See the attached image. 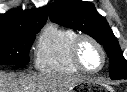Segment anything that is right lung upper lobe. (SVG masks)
Segmentation results:
<instances>
[{"mask_svg": "<svg viewBox=\"0 0 127 92\" xmlns=\"http://www.w3.org/2000/svg\"><path fill=\"white\" fill-rule=\"evenodd\" d=\"M48 15L46 6L34 10L12 9L0 14V33H15L43 27Z\"/></svg>", "mask_w": 127, "mask_h": 92, "instance_id": "right-lung-upper-lobe-1", "label": "right lung upper lobe"}]
</instances>
